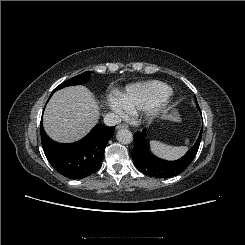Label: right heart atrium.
<instances>
[{
	"label": "right heart atrium",
	"instance_id": "1",
	"mask_svg": "<svg viewBox=\"0 0 245 245\" xmlns=\"http://www.w3.org/2000/svg\"><path fill=\"white\" fill-rule=\"evenodd\" d=\"M107 102L110 109L117 114L128 112V109L125 107L124 103L117 95H109L107 98Z\"/></svg>",
	"mask_w": 245,
	"mask_h": 245
}]
</instances>
